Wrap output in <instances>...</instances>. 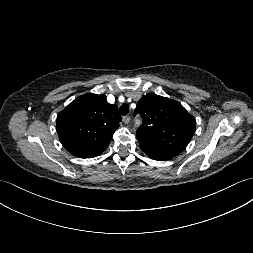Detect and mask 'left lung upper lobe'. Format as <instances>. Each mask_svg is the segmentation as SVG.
<instances>
[{
    "label": "left lung upper lobe",
    "instance_id": "obj_1",
    "mask_svg": "<svg viewBox=\"0 0 253 253\" xmlns=\"http://www.w3.org/2000/svg\"><path fill=\"white\" fill-rule=\"evenodd\" d=\"M143 124L136 137L142 150L170 156L180 154L195 132V118L177 101L156 94L143 96L134 111Z\"/></svg>",
    "mask_w": 253,
    "mask_h": 253
}]
</instances>
